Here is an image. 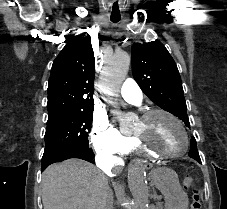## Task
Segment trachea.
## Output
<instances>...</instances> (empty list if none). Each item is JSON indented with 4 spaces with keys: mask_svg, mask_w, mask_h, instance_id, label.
<instances>
[{
    "mask_svg": "<svg viewBox=\"0 0 227 209\" xmlns=\"http://www.w3.org/2000/svg\"><path fill=\"white\" fill-rule=\"evenodd\" d=\"M121 19L120 13H111V22L117 23Z\"/></svg>",
    "mask_w": 227,
    "mask_h": 209,
    "instance_id": "trachea-1",
    "label": "trachea"
}]
</instances>
